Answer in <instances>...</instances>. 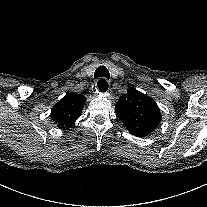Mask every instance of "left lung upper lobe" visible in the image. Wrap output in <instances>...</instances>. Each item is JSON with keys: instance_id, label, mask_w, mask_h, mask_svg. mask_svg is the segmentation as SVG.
Here are the masks:
<instances>
[{"instance_id": "1", "label": "left lung upper lobe", "mask_w": 207, "mask_h": 207, "mask_svg": "<svg viewBox=\"0 0 207 207\" xmlns=\"http://www.w3.org/2000/svg\"><path fill=\"white\" fill-rule=\"evenodd\" d=\"M115 112L128 131L135 136L150 134L161 121L156 102L133 87L119 98Z\"/></svg>"}]
</instances>
